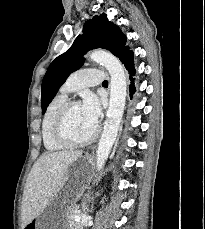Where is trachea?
<instances>
[{
  "label": "trachea",
  "instance_id": "obj_1",
  "mask_svg": "<svg viewBox=\"0 0 205 229\" xmlns=\"http://www.w3.org/2000/svg\"><path fill=\"white\" fill-rule=\"evenodd\" d=\"M103 84H108V81H104Z\"/></svg>",
  "mask_w": 205,
  "mask_h": 229
}]
</instances>
